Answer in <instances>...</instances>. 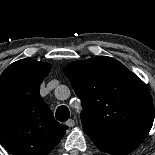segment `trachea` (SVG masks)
Returning <instances> with one entry per match:
<instances>
[{"label":"trachea","instance_id":"3493384b","mask_svg":"<svg viewBox=\"0 0 155 155\" xmlns=\"http://www.w3.org/2000/svg\"><path fill=\"white\" fill-rule=\"evenodd\" d=\"M70 112L66 106H59L56 111V119L61 122H65L69 119Z\"/></svg>","mask_w":155,"mask_h":155}]
</instances>
